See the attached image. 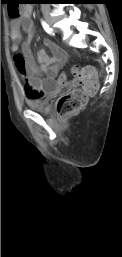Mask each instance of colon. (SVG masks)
I'll use <instances>...</instances> for the list:
<instances>
[{"mask_svg":"<svg viewBox=\"0 0 122 257\" xmlns=\"http://www.w3.org/2000/svg\"><path fill=\"white\" fill-rule=\"evenodd\" d=\"M11 18L20 16V5H6ZM16 67V64H14ZM78 81L81 88L75 89L62 95L57 103V111L62 116H72L78 113L86 104L88 96L94 94L98 89V78L96 71L91 67H72L70 70H63L62 74H57L55 79L56 90H64L71 86V76Z\"/></svg>","mask_w":122,"mask_h":257,"instance_id":"colon-1","label":"colon"}]
</instances>
